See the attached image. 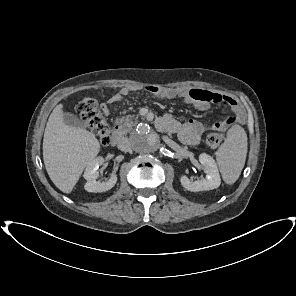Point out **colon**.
I'll return each instance as SVG.
<instances>
[{
	"label": "colon",
	"mask_w": 296,
	"mask_h": 296,
	"mask_svg": "<svg viewBox=\"0 0 296 296\" xmlns=\"http://www.w3.org/2000/svg\"><path fill=\"white\" fill-rule=\"evenodd\" d=\"M76 112L80 119L90 128L102 145L110 143L109 125L103 115V109L92 97H84L77 105ZM224 139L223 132H212L206 137V144L216 148Z\"/></svg>",
	"instance_id": "colon-1"
}]
</instances>
